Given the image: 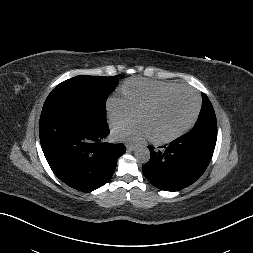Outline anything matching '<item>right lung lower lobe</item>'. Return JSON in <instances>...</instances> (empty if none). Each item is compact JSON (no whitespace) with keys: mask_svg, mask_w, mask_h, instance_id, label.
Segmentation results:
<instances>
[{"mask_svg":"<svg viewBox=\"0 0 253 253\" xmlns=\"http://www.w3.org/2000/svg\"><path fill=\"white\" fill-rule=\"evenodd\" d=\"M110 133L105 117L72 105L44 108L40 142L54 174L68 186L90 192L113 175L125 145L104 142Z\"/></svg>","mask_w":253,"mask_h":253,"instance_id":"obj_1","label":"right lung lower lobe"}]
</instances>
